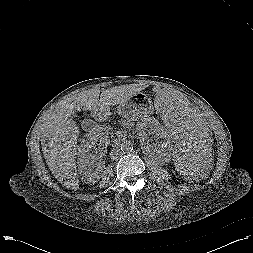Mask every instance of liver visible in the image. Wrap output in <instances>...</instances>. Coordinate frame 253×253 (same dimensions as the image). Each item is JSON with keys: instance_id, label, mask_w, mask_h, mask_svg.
I'll list each match as a JSON object with an SVG mask.
<instances>
[{"instance_id": "6515ba94", "label": "liver", "mask_w": 253, "mask_h": 253, "mask_svg": "<svg viewBox=\"0 0 253 253\" xmlns=\"http://www.w3.org/2000/svg\"><path fill=\"white\" fill-rule=\"evenodd\" d=\"M146 88L143 84H126L100 91L92 88L61 101L41 125V145L46 163L55 178L67 188L76 190V146L79 128L71 116L78 111L108 109L128 101Z\"/></svg>"}]
</instances>
